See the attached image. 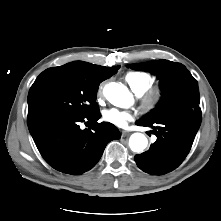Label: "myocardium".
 Wrapping results in <instances>:
<instances>
[{"mask_svg":"<svg viewBox=\"0 0 221 221\" xmlns=\"http://www.w3.org/2000/svg\"><path fill=\"white\" fill-rule=\"evenodd\" d=\"M163 98V91L159 87L148 88L141 96V109L149 113L156 109Z\"/></svg>","mask_w":221,"mask_h":221,"instance_id":"f54148a6","label":"myocardium"}]
</instances>
